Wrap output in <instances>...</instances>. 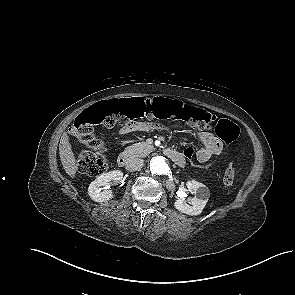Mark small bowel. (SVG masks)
Here are the masks:
<instances>
[{
  "label": "small bowel",
  "instance_id": "c3829d8e",
  "mask_svg": "<svg viewBox=\"0 0 295 295\" xmlns=\"http://www.w3.org/2000/svg\"><path fill=\"white\" fill-rule=\"evenodd\" d=\"M156 128L155 124H150L146 122H132L124 125L120 133L128 134L136 131H147ZM200 142L202 143V147L196 151L195 156L196 160L199 163L208 162L214 156H218L222 149V142L212 133L203 132L198 135ZM184 157V153L182 154ZM185 163V160H184Z\"/></svg>",
  "mask_w": 295,
  "mask_h": 295
}]
</instances>
